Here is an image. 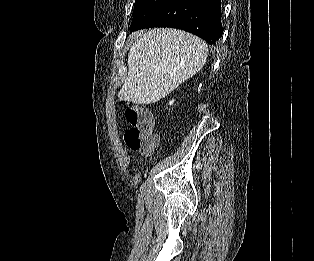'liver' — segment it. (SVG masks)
Listing matches in <instances>:
<instances>
[{"instance_id": "liver-1", "label": "liver", "mask_w": 314, "mask_h": 261, "mask_svg": "<svg viewBox=\"0 0 314 261\" xmlns=\"http://www.w3.org/2000/svg\"><path fill=\"white\" fill-rule=\"evenodd\" d=\"M207 44L190 33L157 28L143 33L128 54V76L118 97L139 105L166 97L206 63Z\"/></svg>"}]
</instances>
